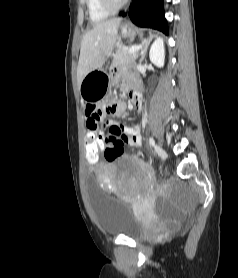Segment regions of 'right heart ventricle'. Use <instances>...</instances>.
<instances>
[{
	"mask_svg": "<svg viewBox=\"0 0 238 278\" xmlns=\"http://www.w3.org/2000/svg\"><path fill=\"white\" fill-rule=\"evenodd\" d=\"M89 19L93 23L101 22L107 19L110 13L104 10L101 6L100 0H86Z\"/></svg>",
	"mask_w": 238,
	"mask_h": 278,
	"instance_id": "obj_1",
	"label": "right heart ventricle"
}]
</instances>
